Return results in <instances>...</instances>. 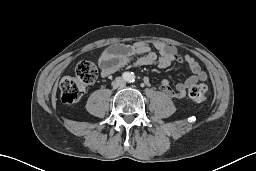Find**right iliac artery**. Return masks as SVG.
<instances>
[{
	"mask_svg": "<svg viewBox=\"0 0 256 171\" xmlns=\"http://www.w3.org/2000/svg\"><path fill=\"white\" fill-rule=\"evenodd\" d=\"M123 77L126 78L127 77V73H123Z\"/></svg>",
	"mask_w": 256,
	"mask_h": 171,
	"instance_id": "obj_1",
	"label": "right iliac artery"
}]
</instances>
